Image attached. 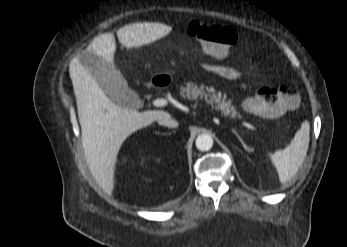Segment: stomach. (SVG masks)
I'll return each mask as SVG.
<instances>
[{"instance_id": "0dacf381", "label": "stomach", "mask_w": 347, "mask_h": 247, "mask_svg": "<svg viewBox=\"0 0 347 247\" xmlns=\"http://www.w3.org/2000/svg\"><path fill=\"white\" fill-rule=\"evenodd\" d=\"M158 76H164V77H169V78H170V75H167V74H166V75H165V74H163V75H157V77H158Z\"/></svg>"}]
</instances>
